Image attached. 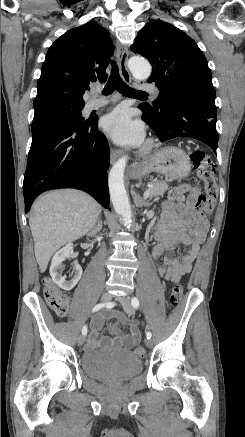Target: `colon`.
<instances>
[{
  "label": "colon",
  "instance_id": "5ec220e1",
  "mask_svg": "<svg viewBox=\"0 0 245 437\" xmlns=\"http://www.w3.org/2000/svg\"><path fill=\"white\" fill-rule=\"evenodd\" d=\"M190 159L196 169L198 176L204 182V193L196 198V208L198 211L206 214L212 213L218 196V188L215 181V171L209 156L200 150H195L190 154ZM194 192L191 185H182L175 188L171 197L175 201H182L185 196H190ZM44 296L47 303L59 316H65L69 308V297L62 292L59 287L49 278L44 281ZM182 288L178 285L173 286L169 293V302L177 305L182 298ZM134 352L139 357H144L146 350L142 346H137Z\"/></svg>",
  "mask_w": 245,
  "mask_h": 437
}]
</instances>
